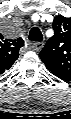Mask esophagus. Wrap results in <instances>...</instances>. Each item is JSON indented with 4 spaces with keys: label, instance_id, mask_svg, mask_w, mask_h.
Segmentation results:
<instances>
[{
    "label": "esophagus",
    "instance_id": "1",
    "mask_svg": "<svg viewBox=\"0 0 71 119\" xmlns=\"http://www.w3.org/2000/svg\"><path fill=\"white\" fill-rule=\"evenodd\" d=\"M44 46L43 42H34L31 44V48L34 51H40Z\"/></svg>",
    "mask_w": 71,
    "mask_h": 119
}]
</instances>
